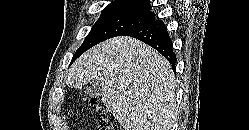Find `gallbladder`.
Returning <instances> with one entry per match:
<instances>
[{
    "mask_svg": "<svg viewBox=\"0 0 249 130\" xmlns=\"http://www.w3.org/2000/svg\"><path fill=\"white\" fill-rule=\"evenodd\" d=\"M83 91L90 98H98L102 95V89L98 81L88 82L84 86Z\"/></svg>",
    "mask_w": 249,
    "mask_h": 130,
    "instance_id": "bac80fb5",
    "label": "gallbladder"
}]
</instances>
